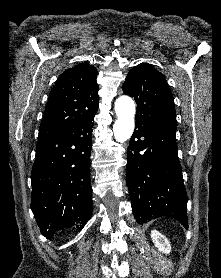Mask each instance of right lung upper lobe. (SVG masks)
<instances>
[{
  "mask_svg": "<svg viewBox=\"0 0 221 278\" xmlns=\"http://www.w3.org/2000/svg\"><path fill=\"white\" fill-rule=\"evenodd\" d=\"M97 70L80 63L63 72L50 92L39 129L38 144H43L98 110Z\"/></svg>",
  "mask_w": 221,
  "mask_h": 278,
  "instance_id": "cb5924a9",
  "label": "right lung upper lobe"
}]
</instances>
